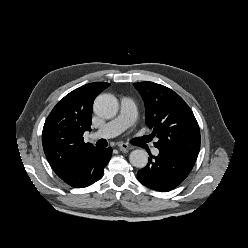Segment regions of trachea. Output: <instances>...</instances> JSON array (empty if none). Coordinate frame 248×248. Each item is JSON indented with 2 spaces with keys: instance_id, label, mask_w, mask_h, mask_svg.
I'll list each match as a JSON object with an SVG mask.
<instances>
[{
  "instance_id": "obj_1",
  "label": "trachea",
  "mask_w": 248,
  "mask_h": 248,
  "mask_svg": "<svg viewBox=\"0 0 248 248\" xmlns=\"http://www.w3.org/2000/svg\"><path fill=\"white\" fill-rule=\"evenodd\" d=\"M97 146L98 147H106L107 146L106 140H104V139L99 140Z\"/></svg>"
}]
</instances>
